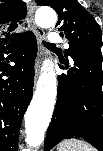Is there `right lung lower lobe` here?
<instances>
[{
	"label": "right lung lower lobe",
	"mask_w": 103,
	"mask_h": 151,
	"mask_svg": "<svg viewBox=\"0 0 103 151\" xmlns=\"http://www.w3.org/2000/svg\"><path fill=\"white\" fill-rule=\"evenodd\" d=\"M36 52L35 38L25 35L18 43L0 48V151L18 149L22 117L33 92ZM9 60L15 65L6 64ZM3 76L9 78L4 80Z\"/></svg>",
	"instance_id": "1"
}]
</instances>
